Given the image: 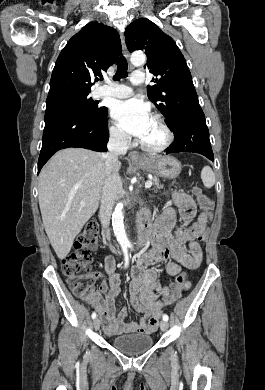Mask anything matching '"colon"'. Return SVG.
<instances>
[{"label":"colon","instance_id":"obj_1","mask_svg":"<svg viewBox=\"0 0 265 390\" xmlns=\"http://www.w3.org/2000/svg\"><path fill=\"white\" fill-rule=\"evenodd\" d=\"M197 202L203 214L207 216L214 207L213 200L202 192L199 187L193 189ZM99 227L96 222H89L80 236L76 239L71 251L62 261V272L66 277L72 292L81 298H91L95 295L94 278L91 272L92 257L90 251L97 245ZM188 277L181 275L171 284L169 291L162 297L167 305L180 297Z\"/></svg>","mask_w":265,"mask_h":390}]
</instances>
